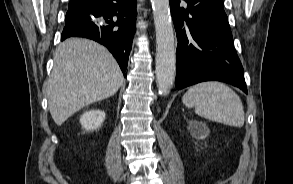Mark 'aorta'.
Masks as SVG:
<instances>
[{
  "instance_id": "1",
  "label": "aorta",
  "mask_w": 293,
  "mask_h": 184,
  "mask_svg": "<svg viewBox=\"0 0 293 184\" xmlns=\"http://www.w3.org/2000/svg\"><path fill=\"white\" fill-rule=\"evenodd\" d=\"M156 30V82L161 95H167L176 73V46L169 0H151Z\"/></svg>"
}]
</instances>
